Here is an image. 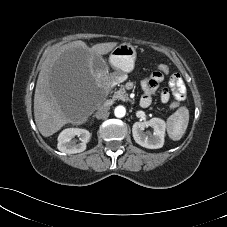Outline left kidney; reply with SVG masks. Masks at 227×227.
I'll use <instances>...</instances> for the list:
<instances>
[{
  "mask_svg": "<svg viewBox=\"0 0 227 227\" xmlns=\"http://www.w3.org/2000/svg\"><path fill=\"white\" fill-rule=\"evenodd\" d=\"M151 127L153 133H145L144 129ZM166 123L160 118L149 121L135 122L132 127L133 138L137 144L148 149H159L164 145Z\"/></svg>",
  "mask_w": 227,
  "mask_h": 227,
  "instance_id": "5707ae66",
  "label": "left kidney"
}]
</instances>
